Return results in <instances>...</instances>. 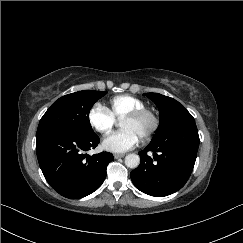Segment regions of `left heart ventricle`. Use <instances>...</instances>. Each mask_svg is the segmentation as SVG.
<instances>
[{"instance_id": "left-heart-ventricle-1", "label": "left heart ventricle", "mask_w": 243, "mask_h": 243, "mask_svg": "<svg viewBox=\"0 0 243 243\" xmlns=\"http://www.w3.org/2000/svg\"><path fill=\"white\" fill-rule=\"evenodd\" d=\"M120 126L122 129L132 130L138 136L139 139H142L150 129L151 121L147 117L139 120L124 119L121 120Z\"/></svg>"}]
</instances>
